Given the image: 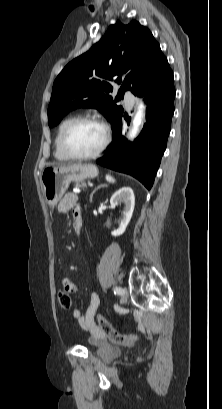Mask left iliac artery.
I'll list each match as a JSON object with an SVG mask.
<instances>
[{
  "label": "left iliac artery",
  "instance_id": "44dca946",
  "mask_svg": "<svg viewBox=\"0 0 222 409\" xmlns=\"http://www.w3.org/2000/svg\"><path fill=\"white\" fill-rule=\"evenodd\" d=\"M121 292H122V291H121V288H120V287H115V288H114V293H115V294H121Z\"/></svg>",
  "mask_w": 222,
  "mask_h": 409
}]
</instances>
